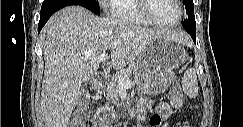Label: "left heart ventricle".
Masks as SVG:
<instances>
[{"label": "left heart ventricle", "instance_id": "left-heart-ventricle-1", "mask_svg": "<svg viewBox=\"0 0 243 127\" xmlns=\"http://www.w3.org/2000/svg\"><path fill=\"white\" fill-rule=\"evenodd\" d=\"M152 15L163 23H174L179 18V8L175 0H149Z\"/></svg>", "mask_w": 243, "mask_h": 127}]
</instances>
